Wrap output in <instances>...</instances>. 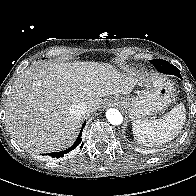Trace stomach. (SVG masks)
Masks as SVG:
<instances>
[{"instance_id":"obj_1","label":"stomach","mask_w":196,"mask_h":196,"mask_svg":"<svg viewBox=\"0 0 196 196\" xmlns=\"http://www.w3.org/2000/svg\"><path fill=\"white\" fill-rule=\"evenodd\" d=\"M145 89L135 96H114L117 102L128 113L132 120H142L164 111L174 98L173 83L159 76H153L141 81Z\"/></svg>"}]
</instances>
